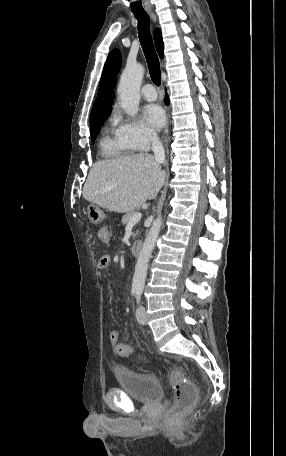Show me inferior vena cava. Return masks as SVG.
Returning <instances> with one entry per match:
<instances>
[{"mask_svg": "<svg viewBox=\"0 0 286 456\" xmlns=\"http://www.w3.org/2000/svg\"><path fill=\"white\" fill-rule=\"evenodd\" d=\"M151 143H152V151L154 152V156L157 162L162 163L165 160V151L164 147L159 140L158 136L153 133L150 136Z\"/></svg>", "mask_w": 286, "mask_h": 456, "instance_id": "1", "label": "inferior vena cava"}]
</instances>
